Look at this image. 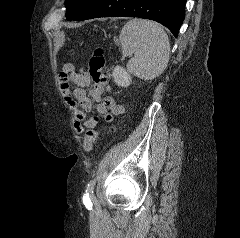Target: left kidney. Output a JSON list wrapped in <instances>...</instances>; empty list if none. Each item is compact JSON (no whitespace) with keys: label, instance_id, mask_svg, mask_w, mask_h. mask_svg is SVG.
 I'll use <instances>...</instances> for the list:
<instances>
[{"label":"left kidney","instance_id":"obj_1","mask_svg":"<svg viewBox=\"0 0 240 238\" xmlns=\"http://www.w3.org/2000/svg\"><path fill=\"white\" fill-rule=\"evenodd\" d=\"M112 77L114 78V82L121 87H127L131 83L130 74L121 66H116L114 68Z\"/></svg>","mask_w":240,"mask_h":238}]
</instances>
